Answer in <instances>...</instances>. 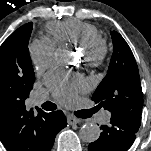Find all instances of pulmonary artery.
Listing matches in <instances>:
<instances>
[{
  "label": "pulmonary artery",
  "mask_w": 151,
  "mask_h": 151,
  "mask_svg": "<svg viewBox=\"0 0 151 151\" xmlns=\"http://www.w3.org/2000/svg\"><path fill=\"white\" fill-rule=\"evenodd\" d=\"M37 104H43L47 101V96L45 94H38L35 99ZM110 119V113L108 111H103L99 116L100 122H107Z\"/></svg>",
  "instance_id": "pulmonary-artery-1"
}]
</instances>
